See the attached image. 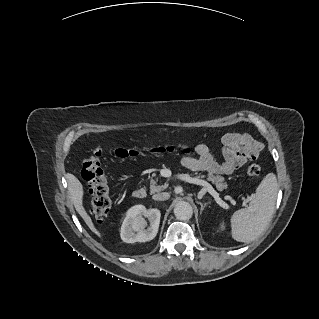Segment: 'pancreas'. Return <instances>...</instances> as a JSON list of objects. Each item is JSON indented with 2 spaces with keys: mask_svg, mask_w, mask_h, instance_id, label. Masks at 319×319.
<instances>
[{
  "mask_svg": "<svg viewBox=\"0 0 319 319\" xmlns=\"http://www.w3.org/2000/svg\"><path fill=\"white\" fill-rule=\"evenodd\" d=\"M199 177L204 178L205 175L199 174ZM207 180L213 183L219 191H222L227 188V183L225 182V179L223 176H220V175L215 176L210 173L207 175ZM157 181H158V178L150 179L151 193L161 191L167 188V185H157Z\"/></svg>",
  "mask_w": 319,
  "mask_h": 319,
  "instance_id": "1",
  "label": "pancreas"
}]
</instances>
